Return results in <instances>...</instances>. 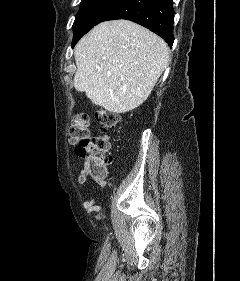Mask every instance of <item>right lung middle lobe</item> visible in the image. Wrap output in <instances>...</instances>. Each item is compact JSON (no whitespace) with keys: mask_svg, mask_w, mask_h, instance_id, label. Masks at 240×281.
I'll return each instance as SVG.
<instances>
[{"mask_svg":"<svg viewBox=\"0 0 240 281\" xmlns=\"http://www.w3.org/2000/svg\"><path fill=\"white\" fill-rule=\"evenodd\" d=\"M117 1L82 0L73 24L74 38L72 45H75L85 33L94 27L99 18Z\"/></svg>","mask_w":240,"mask_h":281,"instance_id":"obj_1","label":"right lung middle lobe"}]
</instances>
